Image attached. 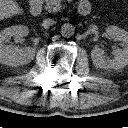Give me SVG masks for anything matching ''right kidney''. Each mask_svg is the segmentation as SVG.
Returning <instances> with one entry per match:
<instances>
[{
    "instance_id": "obj_1",
    "label": "right kidney",
    "mask_w": 128,
    "mask_h": 128,
    "mask_svg": "<svg viewBox=\"0 0 128 128\" xmlns=\"http://www.w3.org/2000/svg\"><path fill=\"white\" fill-rule=\"evenodd\" d=\"M28 27L16 25L5 28L0 32V63L9 66H20L31 62L35 56V49L25 47L18 49L17 47L6 44L11 37L16 39L28 35Z\"/></svg>"
}]
</instances>
